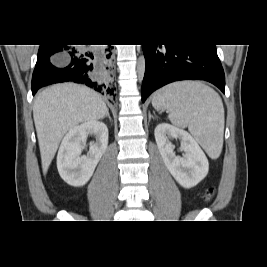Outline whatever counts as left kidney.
I'll return each mask as SVG.
<instances>
[{
    "label": "left kidney",
    "mask_w": 267,
    "mask_h": 267,
    "mask_svg": "<svg viewBox=\"0 0 267 267\" xmlns=\"http://www.w3.org/2000/svg\"><path fill=\"white\" fill-rule=\"evenodd\" d=\"M154 135L165 166L182 187L192 188L207 176V157L188 132L162 123L156 126ZM173 138L181 141L182 157L175 155V146L170 142Z\"/></svg>",
    "instance_id": "5707ae66"
}]
</instances>
